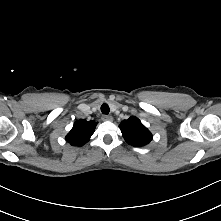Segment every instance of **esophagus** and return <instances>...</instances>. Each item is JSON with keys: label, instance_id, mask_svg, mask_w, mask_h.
I'll return each mask as SVG.
<instances>
[{"label": "esophagus", "instance_id": "1", "mask_svg": "<svg viewBox=\"0 0 221 221\" xmlns=\"http://www.w3.org/2000/svg\"><path fill=\"white\" fill-rule=\"evenodd\" d=\"M102 120H103V121H112L113 118H112V116H110V115H103V116H102Z\"/></svg>", "mask_w": 221, "mask_h": 221}]
</instances>
